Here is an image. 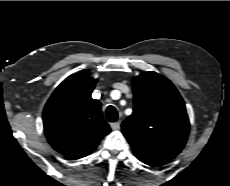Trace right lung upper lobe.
Returning a JSON list of instances; mask_svg holds the SVG:
<instances>
[{
    "label": "right lung upper lobe",
    "mask_w": 230,
    "mask_h": 186,
    "mask_svg": "<svg viewBox=\"0 0 230 186\" xmlns=\"http://www.w3.org/2000/svg\"><path fill=\"white\" fill-rule=\"evenodd\" d=\"M95 83L83 74L69 76L53 92L43 111L49 143L70 159L89 155L110 132L101 103L91 98Z\"/></svg>",
    "instance_id": "obj_1"
}]
</instances>
